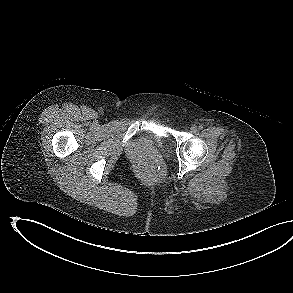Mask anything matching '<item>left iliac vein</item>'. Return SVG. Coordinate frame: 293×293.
<instances>
[{
    "mask_svg": "<svg viewBox=\"0 0 293 293\" xmlns=\"http://www.w3.org/2000/svg\"><path fill=\"white\" fill-rule=\"evenodd\" d=\"M192 133H196L197 132V127L195 125L191 126L190 128Z\"/></svg>",
    "mask_w": 293,
    "mask_h": 293,
    "instance_id": "4c4485c4",
    "label": "left iliac vein"
}]
</instances>
